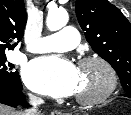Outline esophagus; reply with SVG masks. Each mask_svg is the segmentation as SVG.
<instances>
[{"label":"esophagus","instance_id":"1","mask_svg":"<svg viewBox=\"0 0 131 115\" xmlns=\"http://www.w3.org/2000/svg\"><path fill=\"white\" fill-rule=\"evenodd\" d=\"M51 115H62V113L58 110H53Z\"/></svg>","mask_w":131,"mask_h":115}]
</instances>
